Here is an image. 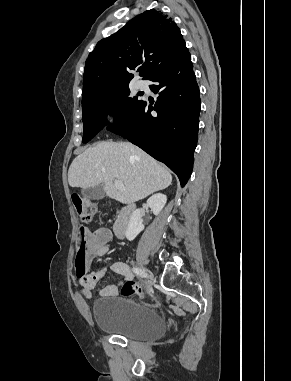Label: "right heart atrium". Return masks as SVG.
<instances>
[{
  "label": "right heart atrium",
  "instance_id": "1",
  "mask_svg": "<svg viewBox=\"0 0 291 381\" xmlns=\"http://www.w3.org/2000/svg\"><path fill=\"white\" fill-rule=\"evenodd\" d=\"M106 120L108 122H114L116 120V118L118 117V113H117V110L114 109V108H111L109 109L107 112H106Z\"/></svg>",
  "mask_w": 291,
  "mask_h": 381
}]
</instances>
